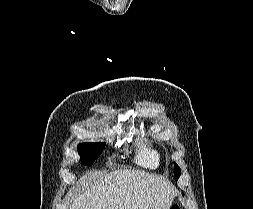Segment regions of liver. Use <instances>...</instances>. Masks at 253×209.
<instances>
[{
    "label": "liver",
    "instance_id": "liver-1",
    "mask_svg": "<svg viewBox=\"0 0 253 209\" xmlns=\"http://www.w3.org/2000/svg\"><path fill=\"white\" fill-rule=\"evenodd\" d=\"M85 190L70 209H169L176 188L165 178L139 170H116L82 179Z\"/></svg>",
    "mask_w": 253,
    "mask_h": 209
}]
</instances>
